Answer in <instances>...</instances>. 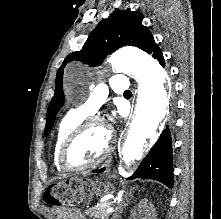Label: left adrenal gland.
Listing matches in <instances>:
<instances>
[{
    "mask_svg": "<svg viewBox=\"0 0 221 219\" xmlns=\"http://www.w3.org/2000/svg\"><path fill=\"white\" fill-rule=\"evenodd\" d=\"M122 206L123 205L121 204L118 208H116L114 218H117L122 213Z\"/></svg>",
    "mask_w": 221,
    "mask_h": 219,
    "instance_id": "obj_1",
    "label": "left adrenal gland"
}]
</instances>
